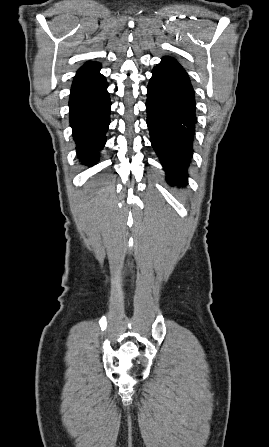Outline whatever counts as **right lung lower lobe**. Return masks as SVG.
Returning <instances> with one entry per match:
<instances>
[{
    "label": "right lung lower lobe",
    "mask_w": 269,
    "mask_h": 447,
    "mask_svg": "<svg viewBox=\"0 0 269 447\" xmlns=\"http://www.w3.org/2000/svg\"><path fill=\"white\" fill-rule=\"evenodd\" d=\"M100 64L88 62L81 67L72 84L69 107L70 126L82 164H95L105 144L110 123L108 83L99 73Z\"/></svg>",
    "instance_id": "obj_1"
}]
</instances>
